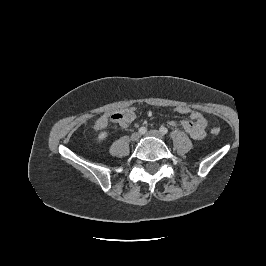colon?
Returning a JSON list of instances; mask_svg holds the SVG:
<instances>
[{
  "label": "colon",
  "instance_id": "5ec220e1",
  "mask_svg": "<svg viewBox=\"0 0 266 266\" xmlns=\"http://www.w3.org/2000/svg\"><path fill=\"white\" fill-rule=\"evenodd\" d=\"M174 111L178 114H183V115H191L193 112L190 107L185 106V105H179V106L175 107ZM134 116H135V111H134V109L130 108V109H126V110L117 111V112L112 113L110 116V119L114 123L121 124L127 120H130ZM211 133L214 135L219 134L220 128L213 127L211 129Z\"/></svg>",
  "mask_w": 266,
  "mask_h": 266
}]
</instances>
